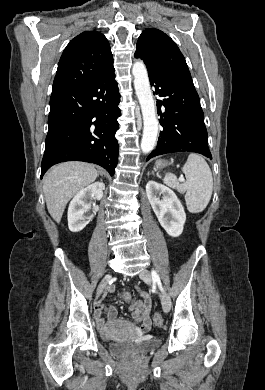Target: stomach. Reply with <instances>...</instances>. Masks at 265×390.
Returning a JSON list of instances; mask_svg holds the SVG:
<instances>
[{
  "instance_id": "1",
  "label": "stomach",
  "mask_w": 265,
  "mask_h": 390,
  "mask_svg": "<svg viewBox=\"0 0 265 390\" xmlns=\"http://www.w3.org/2000/svg\"><path fill=\"white\" fill-rule=\"evenodd\" d=\"M167 166V162L165 160H157L155 163L156 169H161L163 167Z\"/></svg>"
}]
</instances>
